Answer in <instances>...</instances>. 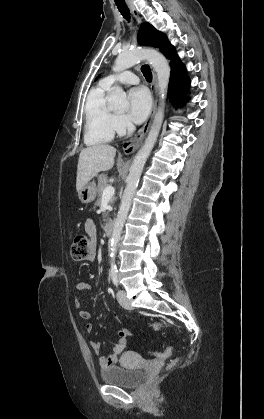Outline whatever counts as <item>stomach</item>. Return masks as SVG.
<instances>
[{
  "label": "stomach",
  "instance_id": "stomach-1",
  "mask_svg": "<svg viewBox=\"0 0 264 419\" xmlns=\"http://www.w3.org/2000/svg\"><path fill=\"white\" fill-rule=\"evenodd\" d=\"M96 184L94 181L88 182L79 192L78 196L82 203H91L96 198Z\"/></svg>",
  "mask_w": 264,
  "mask_h": 419
}]
</instances>
